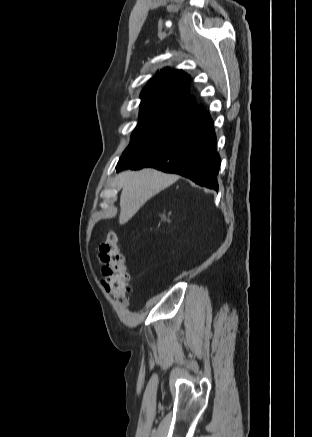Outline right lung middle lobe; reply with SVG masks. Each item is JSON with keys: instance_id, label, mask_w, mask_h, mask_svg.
Here are the masks:
<instances>
[{"instance_id": "dd1d6c3e", "label": "right lung middle lobe", "mask_w": 312, "mask_h": 437, "mask_svg": "<svg viewBox=\"0 0 312 437\" xmlns=\"http://www.w3.org/2000/svg\"><path fill=\"white\" fill-rule=\"evenodd\" d=\"M199 117L198 113L174 107H142L139 113V123L122 156L157 147L175 138L187 130Z\"/></svg>"}]
</instances>
